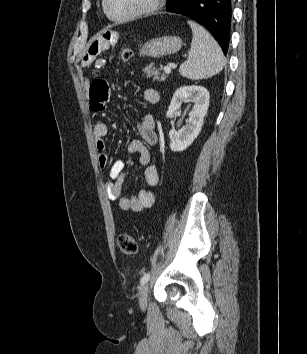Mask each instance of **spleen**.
<instances>
[{"label":"spleen","mask_w":307,"mask_h":354,"mask_svg":"<svg viewBox=\"0 0 307 354\" xmlns=\"http://www.w3.org/2000/svg\"><path fill=\"white\" fill-rule=\"evenodd\" d=\"M193 39L189 57L179 68L182 76L192 80L218 74L223 67V53L217 41L200 25L188 21Z\"/></svg>","instance_id":"obj_1"}]
</instances>
